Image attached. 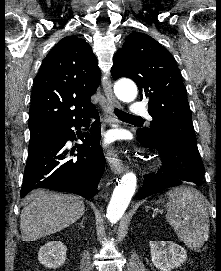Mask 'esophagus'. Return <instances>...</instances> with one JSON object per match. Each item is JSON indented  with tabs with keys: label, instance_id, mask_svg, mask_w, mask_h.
I'll return each mask as SVG.
<instances>
[{
	"label": "esophagus",
	"instance_id": "34e87169",
	"mask_svg": "<svg viewBox=\"0 0 221 271\" xmlns=\"http://www.w3.org/2000/svg\"><path fill=\"white\" fill-rule=\"evenodd\" d=\"M102 85L107 99V103L104 107L106 120L111 127H118L120 125V121L114 116L113 108L119 106V102L113 94L110 81L106 80ZM106 158L111 170L114 173L120 174L125 171V166L115 149L109 148L106 153Z\"/></svg>",
	"mask_w": 221,
	"mask_h": 271
}]
</instances>
